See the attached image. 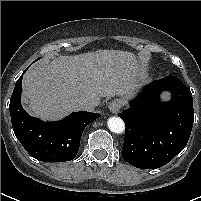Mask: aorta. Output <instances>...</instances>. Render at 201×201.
<instances>
[{
  "label": "aorta",
  "instance_id": "1",
  "mask_svg": "<svg viewBox=\"0 0 201 201\" xmlns=\"http://www.w3.org/2000/svg\"><path fill=\"white\" fill-rule=\"evenodd\" d=\"M108 128L114 133H122L125 130V124L119 117H110L107 121Z\"/></svg>",
  "mask_w": 201,
  "mask_h": 201
}]
</instances>
